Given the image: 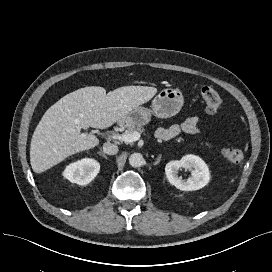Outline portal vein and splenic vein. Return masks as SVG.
<instances>
[{
  "instance_id": "obj_1",
  "label": "portal vein and splenic vein",
  "mask_w": 272,
  "mask_h": 272,
  "mask_svg": "<svg viewBox=\"0 0 272 272\" xmlns=\"http://www.w3.org/2000/svg\"><path fill=\"white\" fill-rule=\"evenodd\" d=\"M141 134L138 131L132 133H124V134H113L108 137L114 140H120L126 143L135 142L140 139Z\"/></svg>"
}]
</instances>
